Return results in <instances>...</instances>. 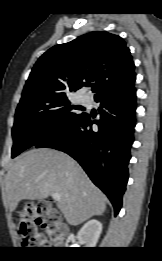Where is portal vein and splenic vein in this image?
Segmentation results:
<instances>
[{
  "label": "portal vein and splenic vein",
  "instance_id": "18ae733b",
  "mask_svg": "<svg viewBox=\"0 0 162 261\" xmlns=\"http://www.w3.org/2000/svg\"><path fill=\"white\" fill-rule=\"evenodd\" d=\"M51 196L56 201H59L61 199V195L59 193H53Z\"/></svg>",
  "mask_w": 162,
  "mask_h": 261
}]
</instances>
